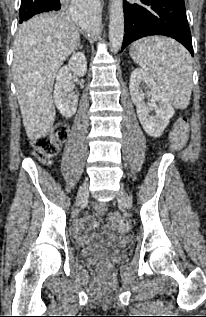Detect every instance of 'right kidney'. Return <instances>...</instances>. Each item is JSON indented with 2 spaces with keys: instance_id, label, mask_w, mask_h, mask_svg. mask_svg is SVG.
<instances>
[{
  "instance_id": "obj_1",
  "label": "right kidney",
  "mask_w": 206,
  "mask_h": 317,
  "mask_svg": "<svg viewBox=\"0 0 206 317\" xmlns=\"http://www.w3.org/2000/svg\"><path fill=\"white\" fill-rule=\"evenodd\" d=\"M87 71V62L83 53H74L68 65L62 67L56 75L54 87V102L63 117H72L77 110L78 96L73 93L70 82L72 72L77 76H84Z\"/></svg>"
}]
</instances>
